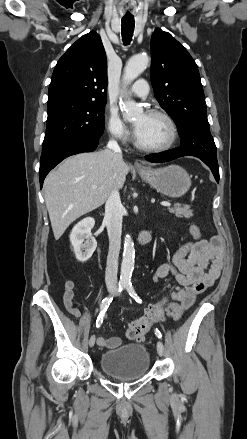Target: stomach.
Here are the masks:
<instances>
[{"instance_id": "stomach-1", "label": "stomach", "mask_w": 247, "mask_h": 439, "mask_svg": "<svg viewBox=\"0 0 247 439\" xmlns=\"http://www.w3.org/2000/svg\"><path fill=\"white\" fill-rule=\"evenodd\" d=\"M138 173L144 181L158 192L171 198L183 196L191 186L189 174L178 165H169L156 169H139Z\"/></svg>"}]
</instances>
